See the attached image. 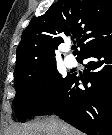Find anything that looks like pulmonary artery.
Wrapping results in <instances>:
<instances>
[{
    "mask_svg": "<svg viewBox=\"0 0 112 135\" xmlns=\"http://www.w3.org/2000/svg\"><path fill=\"white\" fill-rule=\"evenodd\" d=\"M65 64L68 66V67H73L75 64H76V61L74 58L72 57H66L65 58Z\"/></svg>",
    "mask_w": 112,
    "mask_h": 135,
    "instance_id": "1",
    "label": "pulmonary artery"
}]
</instances>
